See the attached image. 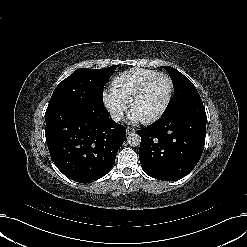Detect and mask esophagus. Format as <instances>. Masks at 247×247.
I'll use <instances>...</instances> for the list:
<instances>
[{
	"instance_id": "esophagus-1",
	"label": "esophagus",
	"mask_w": 247,
	"mask_h": 247,
	"mask_svg": "<svg viewBox=\"0 0 247 247\" xmlns=\"http://www.w3.org/2000/svg\"><path fill=\"white\" fill-rule=\"evenodd\" d=\"M126 132H127V135H130V134H132V133H135V129H134V128H131V127H128V128L126 129Z\"/></svg>"
}]
</instances>
